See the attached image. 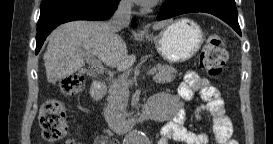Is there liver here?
Returning <instances> with one entry per match:
<instances>
[{
	"label": "liver",
	"instance_id": "liver-1",
	"mask_svg": "<svg viewBox=\"0 0 273 144\" xmlns=\"http://www.w3.org/2000/svg\"><path fill=\"white\" fill-rule=\"evenodd\" d=\"M171 21L153 25V30L166 27ZM44 53L46 77L55 84L85 66L84 53L98 57L105 65L125 71L136 61L128 55L126 43L111 33L109 22L72 21L57 27L48 37Z\"/></svg>",
	"mask_w": 273,
	"mask_h": 144
}]
</instances>
